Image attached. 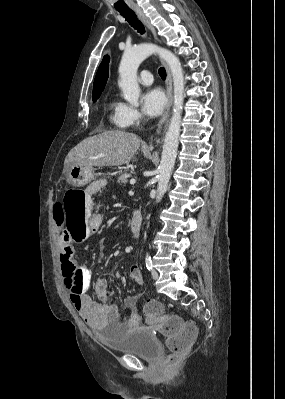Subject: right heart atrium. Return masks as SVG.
<instances>
[{"label": "right heart atrium", "mask_w": 285, "mask_h": 399, "mask_svg": "<svg viewBox=\"0 0 285 399\" xmlns=\"http://www.w3.org/2000/svg\"><path fill=\"white\" fill-rule=\"evenodd\" d=\"M141 119V114L137 108L125 105V123L127 126L137 124Z\"/></svg>", "instance_id": "1"}]
</instances>
